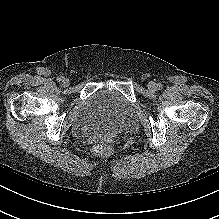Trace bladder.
Instances as JSON below:
<instances>
[{
	"label": "bladder",
	"mask_w": 219,
	"mask_h": 219,
	"mask_svg": "<svg viewBox=\"0 0 219 219\" xmlns=\"http://www.w3.org/2000/svg\"><path fill=\"white\" fill-rule=\"evenodd\" d=\"M136 121V111L116 90L102 87L85 99L72 122L80 138L114 137Z\"/></svg>",
	"instance_id": "bladder-1"
}]
</instances>
